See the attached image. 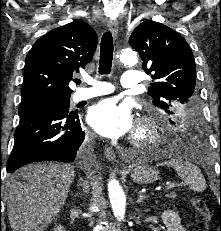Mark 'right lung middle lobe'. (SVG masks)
<instances>
[{"mask_svg": "<svg viewBox=\"0 0 221 231\" xmlns=\"http://www.w3.org/2000/svg\"><path fill=\"white\" fill-rule=\"evenodd\" d=\"M70 100L69 98H49V97H37L27 98L21 101L18 112L22 114L31 109L44 107V106H55L63 109H69Z\"/></svg>", "mask_w": 221, "mask_h": 231, "instance_id": "dd1d6c3e", "label": "right lung middle lobe"}]
</instances>
